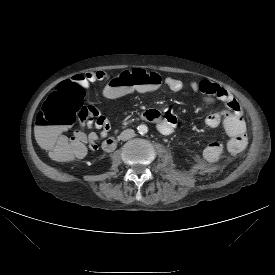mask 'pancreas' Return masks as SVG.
<instances>
[{"mask_svg": "<svg viewBox=\"0 0 275 275\" xmlns=\"http://www.w3.org/2000/svg\"><path fill=\"white\" fill-rule=\"evenodd\" d=\"M129 117H127L124 121H123V125H127V124H129L131 121H127V119H128Z\"/></svg>", "mask_w": 275, "mask_h": 275, "instance_id": "1", "label": "pancreas"}]
</instances>
